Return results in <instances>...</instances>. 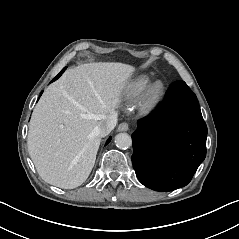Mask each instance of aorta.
<instances>
[{
	"label": "aorta",
	"mask_w": 239,
	"mask_h": 239,
	"mask_svg": "<svg viewBox=\"0 0 239 239\" xmlns=\"http://www.w3.org/2000/svg\"><path fill=\"white\" fill-rule=\"evenodd\" d=\"M115 144L120 149H127L132 145L131 136L127 133H119L115 136Z\"/></svg>",
	"instance_id": "1"
}]
</instances>
